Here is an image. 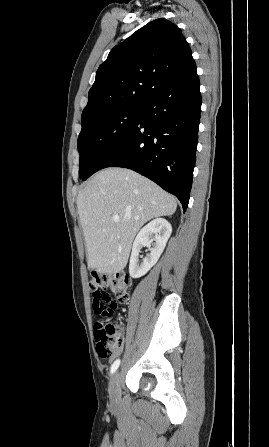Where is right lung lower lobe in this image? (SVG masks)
I'll list each match as a JSON object with an SVG mask.
<instances>
[{"instance_id":"obj_1","label":"right lung lower lobe","mask_w":269,"mask_h":447,"mask_svg":"<svg viewBox=\"0 0 269 447\" xmlns=\"http://www.w3.org/2000/svg\"><path fill=\"white\" fill-rule=\"evenodd\" d=\"M195 62L147 98L141 119L97 161L87 177L106 167L132 169L175 195L185 211L190 197L201 113Z\"/></svg>"}]
</instances>
